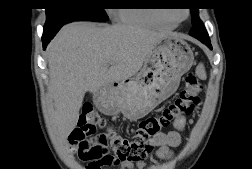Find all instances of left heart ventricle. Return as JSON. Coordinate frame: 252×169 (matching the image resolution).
<instances>
[{"label":"left heart ventricle","mask_w":252,"mask_h":169,"mask_svg":"<svg viewBox=\"0 0 252 169\" xmlns=\"http://www.w3.org/2000/svg\"><path fill=\"white\" fill-rule=\"evenodd\" d=\"M172 16L176 19H182L185 17V10L184 9L175 10L172 12Z\"/></svg>","instance_id":"obj_1"}]
</instances>
